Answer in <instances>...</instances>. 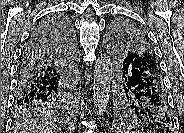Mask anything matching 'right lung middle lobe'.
<instances>
[{"label":"right lung middle lobe","instance_id":"right-lung-middle-lobe-1","mask_svg":"<svg viewBox=\"0 0 184 133\" xmlns=\"http://www.w3.org/2000/svg\"><path fill=\"white\" fill-rule=\"evenodd\" d=\"M66 20L67 26H72L71 22L64 17ZM71 31L73 32V29L71 27ZM69 104V94L67 93L63 95H55L54 97H51L47 101H45L42 104L37 105H25V104H15V111L16 115L20 117H26L29 115H36V114H52L57 113L65 110Z\"/></svg>","mask_w":184,"mask_h":133}]
</instances>
